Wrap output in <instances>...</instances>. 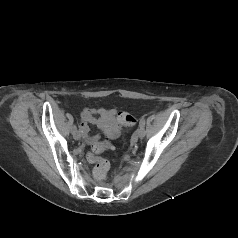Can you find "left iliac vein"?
Segmentation results:
<instances>
[{
    "label": "left iliac vein",
    "mask_w": 238,
    "mask_h": 238,
    "mask_svg": "<svg viewBox=\"0 0 238 238\" xmlns=\"http://www.w3.org/2000/svg\"><path fill=\"white\" fill-rule=\"evenodd\" d=\"M137 136L139 138H143L145 136V130H144V127H140L138 130H137Z\"/></svg>",
    "instance_id": "4c4485c4"
}]
</instances>
